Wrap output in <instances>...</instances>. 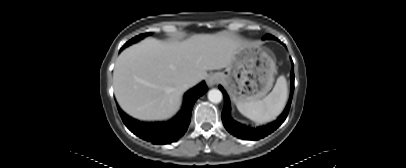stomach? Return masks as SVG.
<instances>
[{
	"instance_id": "stomach-1",
	"label": "stomach",
	"mask_w": 406,
	"mask_h": 168,
	"mask_svg": "<svg viewBox=\"0 0 406 168\" xmlns=\"http://www.w3.org/2000/svg\"><path fill=\"white\" fill-rule=\"evenodd\" d=\"M275 72L276 62L268 50L256 44H245L233 62L217 74L238 105L265 97L273 86Z\"/></svg>"
}]
</instances>
